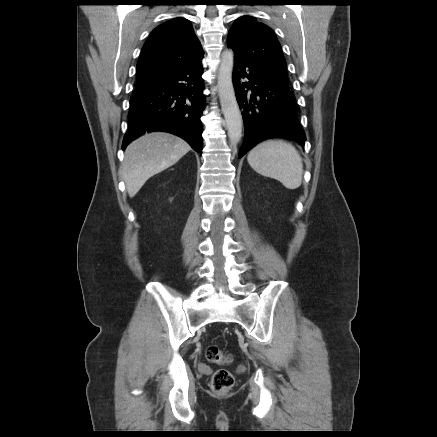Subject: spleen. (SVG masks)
Masks as SVG:
<instances>
[{"label":"spleen","instance_id":"1","mask_svg":"<svg viewBox=\"0 0 437 437\" xmlns=\"http://www.w3.org/2000/svg\"><path fill=\"white\" fill-rule=\"evenodd\" d=\"M249 165L259 174L278 180L287 189L302 183L303 162L296 148L282 140H266L248 154Z\"/></svg>","mask_w":437,"mask_h":437}]
</instances>
